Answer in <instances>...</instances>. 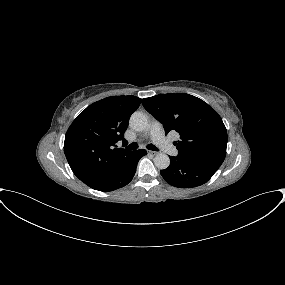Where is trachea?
I'll return each instance as SVG.
<instances>
[{
	"label": "trachea",
	"instance_id": "obj_1",
	"mask_svg": "<svg viewBox=\"0 0 285 285\" xmlns=\"http://www.w3.org/2000/svg\"><path fill=\"white\" fill-rule=\"evenodd\" d=\"M125 145H126V143H125ZM126 148H127V149H131V150H135V149L138 148V144H137V143H131V144L128 145ZM147 149L152 150V151H158V150H159V149H158L155 145H153V144L147 145Z\"/></svg>",
	"mask_w": 285,
	"mask_h": 285
}]
</instances>
